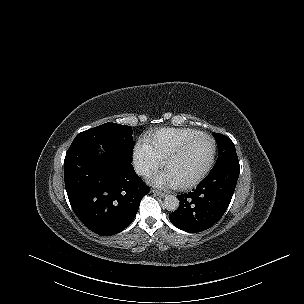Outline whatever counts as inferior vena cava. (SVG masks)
<instances>
[{"label": "inferior vena cava", "instance_id": "inferior-vena-cava-1", "mask_svg": "<svg viewBox=\"0 0 304 304\" xmlns=\"http://www.w3.org/2000/svg\"><path fill=\"white\" fill-rule=\"evenodd\" d=\"M134 170H135L136 174L139 176H148L150 174L149 167L142 163H135Z\"/></svg>", "mask_w": 304, "mask_h": 304}]
</instances>
